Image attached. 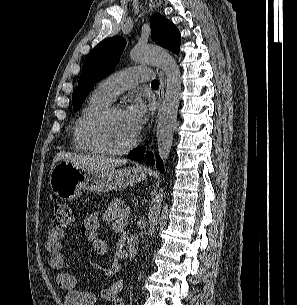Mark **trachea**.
I'll return each instance as SVG.
<instances>
[{
    "label": "trachea",
    "instance_id": "trachea-1",
    "mask_svg": "<svg viewBox=\"0 0 297 305\" xmlns=\"http://www.w3.org/2000/svg\"><path fill=\"white\" fill-rule=\"evenodd\" d=\"M152 87H159V81L158 80H153L151 83Z\"/></svg>",
    "mask_w": 297,
    "mask_h": 305
}]
</instances>
